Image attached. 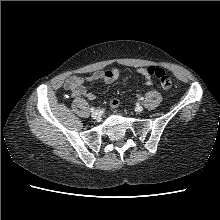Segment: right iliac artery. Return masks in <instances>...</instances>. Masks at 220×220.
Masks as SVG:
<instances>
[{
  "label": "right iliac artery",
  "mask_w": 220,
  "mask_h": 220,
  "mask_svg": "<svg viewBox=\"0 0 220 220\" xmlns=\"http://www.w3.org/2000/svg\"><path fill=\"white\" fill-rule=\"evenodd\" d=\"M90 111H91V112H94V111H95V109L92 107V108L90 109Z\"/></svg>",
  "instance_id": "obj_1"
}]
</instances>
